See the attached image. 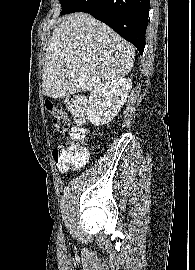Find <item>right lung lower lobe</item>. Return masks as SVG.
I'll return each instance as SVG.
<instances>
[{
    "label": "right lung lower lobe",
    "mask_w": 195,
    "mask_h": 270,
    "mask_svg": "<svg viewBox=\"0 0 195 270\" xmlns=\"http://www.w3.org/2000/svg\"><path fill=\"white\" fill-rule=\"evenodd\" d=\"M149 8L150 0H77L69 13H89L133 43L142 54Z\"/></svg>",
    "instance_id": "98d812e1"
}]
</instances>
